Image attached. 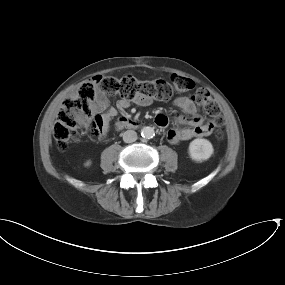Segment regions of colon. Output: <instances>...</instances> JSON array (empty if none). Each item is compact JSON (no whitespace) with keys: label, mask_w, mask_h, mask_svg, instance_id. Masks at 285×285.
<instances>
[{"label":"colon","mask_w":285,"mask_h":285,"mask_svg":"<svg viewBox=\"0 0 285 285\" xmlns=\"http://www.w3.org/2000/svg\"><path fill=\"white\" fill-rule=\"evenodd\" d=\"M195 88V83L188 77L173 74L169 81L155 79L140 81L127 75L120 78L96 76L81 84L76 93L63 102L54 126V137L57 146L65 150L68 144L75 139L79 129L84 128L90 119V105L95 100L97 91L103 93H119L125 99H134L139 96H149L159 100L170 98L175 92H187ZM194 102L199 105L210 117L219 119L220 107L211 94L204 88L196 90ZM167 116L160 114L155 117L159 127L167 124ZM102 125L97 120L92 122L91 133L94 138L102 135ZM202 134H213L218 140L224 139V132L219 128L218 120L210 123Z\"/></svg>","instance_id":"1"}]
</instances>
